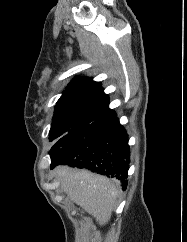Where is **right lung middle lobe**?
<instances>
[{
    "instance_id": "obj_1",
    "label": "right lung middle lobe",
    "mask_w": 187,
    "mask_h": 242,
    "mask_svg": "<svg viewBox=\"0 0 187 242\" xmlns=\"http://www.w3.org/2000/svg\"><path fill=\"white\" fill-rule=\"evenodd\" d=\"M104 108L74 105L55 108L49 140H57L67 133L89 124L104 113Z\"/></svg>"
}]
</instances>
